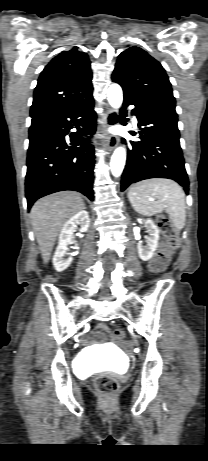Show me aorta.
Here are the masks:
<instances>
[{
    "mask_svg": "<svg viewBox=\"0 0 208 461\" xmlns=\"http://www.w3.org/2000/svg\"><path fill=\"white\" fill-rule=\"evenodd\" d=\"M107 99L109 104L114 109H119L123 102L122 88L118 84H111L107 91ZM126 161V150L124 147H118L113 152L110 161V169L112 175L116 178L120 177Z\"/></svg>",
    "mask_w": 208,
    "mask_h": 461,
    "instance_id": "1",
    "label": "aorta"
}]
</instances>
